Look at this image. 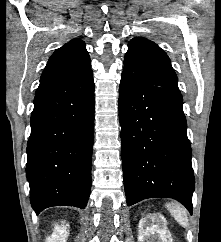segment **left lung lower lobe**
I'll return each mask as SVG.
<instances>
[{"label":"left lung lower lobe","mask_w":221,"mask_h":242,"mask_svg":"<svg viewBox=\"0 0 221 242\" xmlns=\"http://www.w3.org/2000/svg\"><path fill=\"white\" fill-rule=\"evenodd\" d=\"M119 119L127 205L168 197L192 213L195 178L181 93L153 85L124 66Z\"/></svg>","instance_id":"1"}]
</instances>
